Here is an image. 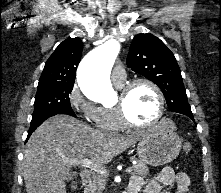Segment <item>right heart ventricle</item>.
<instances>
[{"mask_svg":"<svg viewBox=\"0 0 221 193\" xmlns=\"http://www.w3.org/2000/svg\"><path fill=\"white\" fill-rule=\"evenodd\" d=\"M96 124L103 129L111 131H118L124 128L115 107H99V119Z\"/></svg>","mask_w":221,"mask_h":193,"instance_id":"obj_1","label":"right heart ventricle"}]
</instances>
